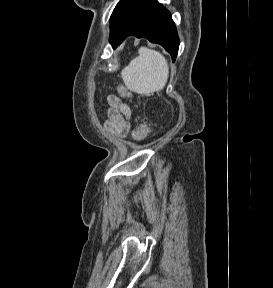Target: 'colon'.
Returning <instances> with one entry per match:
<instances>
[{
  "mask_svg": "<svg viewBox=\"0 0 273 288\" xmlns=\"http://www.w3.org/2000/svg\"><path fill=\"white\" fill-rule=\"evenodd\" d=\"M117 91L121 97L130 98V90L123 84L118 85ZM150 133L149 124L146 121L141 122L132 132V137L136 141L145 140Z\"/></svg>",
  "mask_w": 273,
  "mask_h": 288,
  "instance_id": "colon-1",
  "label": "colon"
}]
</instances>
